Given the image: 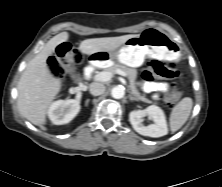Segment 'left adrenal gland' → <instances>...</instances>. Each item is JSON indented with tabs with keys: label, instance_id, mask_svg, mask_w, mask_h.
Segmentation results:
<instances>
[{
	"label": "left adrenal gland",
	"instance_id": "left-adrenal-gland-1",
	"mask_svg": "<svg viewBox=\"0 0 222 187\" xmlns=\"http://www.w3.org/2000/svg\"><path fill=\"white\" fill-rule=\"evenodd\" d=\"M129 99H130L131 101H138V99L135 98V97H133L132 95H129Z\"/></svg>",
	"mask_w": 222,
	"mask_h": 187
}]
</instances>
